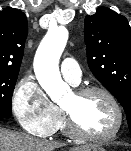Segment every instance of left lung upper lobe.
Wrapping results in <instances>:
<instances>
[{
	"label": "left lung upper lobe",
	"mask_w": 131,
	"mask_h": 151,
	"mask_svg": "<svg viewBox=\"0 0 131 151\" xmlns=\"http://www.w3.org/2000/svg\"><path fill=\"white\" fill-rule=\"evenodd\" d=\"M86 54L93 75L117 98L131 131V27L107 7L86 15Z\"/></svg>",
	"instance_id": "left-lung-upper-lobe-1"
}]
</instances>
